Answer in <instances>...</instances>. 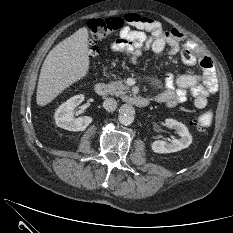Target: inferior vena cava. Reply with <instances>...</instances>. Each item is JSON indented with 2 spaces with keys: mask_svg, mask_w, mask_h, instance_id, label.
Instances as JSON below:
<instances>
[{
  "mask_svg": "<svg viewBox=\"0 0 233 233\" xmlns=\"http://www.w3.org/2000/svg\"><path fill=\"white\" fill-rule=\"evenodd\" d=\"M103 106L108 112L115 111L117 108V101L113 98H106L104 100Z\"/></svg>",
  "mask_w": 233,
  "mask_h": 233,
  "instance_id": "obj_1",
  "label": "inferior vena cava"
}]
</instances>
